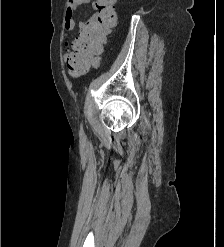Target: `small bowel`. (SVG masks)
Masks as SVG:
<instances>
[{"label": "small bowel", "mask_w": 224, "mask_h": 247, "mask_svg": "<svg viewBox=\"0 0 224 247\" xmlns=\"http://www.w3.org/2000/svg\"><path fill=\"white\" fill-rule=\"evenodd\" d=\"M90 5L92 8H96L95 2L93 0H69V4L66 8L65 15H64V27L67 32L72 31L75 28L76 21H75V11L78 7ZM86 22H79L78 27L80 30L83 29ZM63 44L67 48L68 58L67 61L69 62L78 50V43L77 39L71 40L68 34L63 36Z\"/></svg>", "instance_id": "small-bowel-1"}]
</instances>
